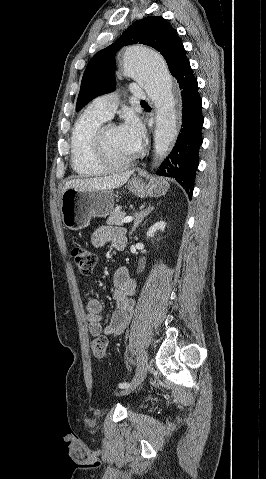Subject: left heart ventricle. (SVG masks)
I'll return each instance as SVG.
<instances>
[{"label":"left heart ventricle","instance_id":"1","mask_svg":"<svg viewBox=\"0 0 266 479\" xmlns=\"http://www.w3.org/2000/svg\"><path fill=\"white\" fill-rule=\"evenodd\" d=\"M105 145L107 155L113 162H124L132 156L125 147L117 128H111L106 131Z\"/></svg>","mask_w":266,"mask_h":479}]
</instances>
